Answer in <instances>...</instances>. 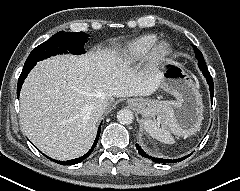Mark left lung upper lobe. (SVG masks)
Returning a JSON list of instances; mask_svg holds the SVG:
<instances>
[{
    "label": "left lung upper lobe",
    "mask_w": 240,
    "mask_h": 191,
    "mask_svg": "<svg viewBox=\"0 0 240 191\" xmlns=\"http://www.w3.org/2000/svg\"><path fill=\"white\" fill-rule=\"evenodd\" d=\"M193 49L196 53L197 60L198 61L204 60L202 53L198 50V48L195 45H193Z\"/></svg>",
    "instance_id": "obj_1"
}]
</instances>
